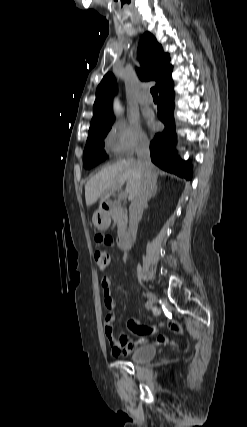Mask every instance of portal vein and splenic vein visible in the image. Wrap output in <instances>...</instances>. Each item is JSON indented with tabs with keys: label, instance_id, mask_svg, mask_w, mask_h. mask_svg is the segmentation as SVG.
I'll return each mask as SVG.
<instances>
[{
	"label": "portal vein and splenic vein",
	"instance_id": "portal-vein-and-splenic-vein-1",
	"mask_svg": "<svg viewBox=\"0 0 247 427\" xmlns=\"http://www.w3.org/2000/svg\"><path fill=\"white\" fill-rule=\"evenodd\" d=\"M126 196H127V193H125V192L121 193L119 195V200H122V199L126 198Z\"/></svg>",
	"mask_w": 247,
	"mask_h": 427
}]
</instances>
